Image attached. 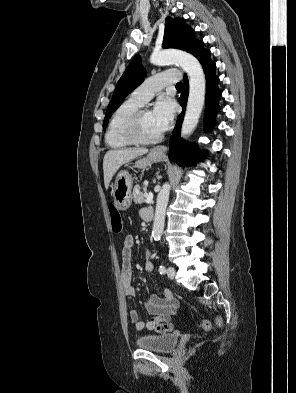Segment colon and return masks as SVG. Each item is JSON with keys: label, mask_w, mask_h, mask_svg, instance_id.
<instances>
[{"label": "colon", "mask_w": 296, "mask_h": 393, "mask_svg": "<svg viewBox=\"0 0 296 393\" xmlns=\"http://www.w3.org/2000/svg\"><path fill=\"white\" fill-rule=\"evenodd\" d=\"M109 214H110V220H111V227L113 232L115 233H121L123 230V220L121 218V215L115 205L110 204L109 205ZM217 324L220 326L222 324L221 319L217 320ZM198 327L201 330H209L211 325L210 322L207 320H202L199 322Z\"/></svg>", "instance_id": "1"}]
</instances>
